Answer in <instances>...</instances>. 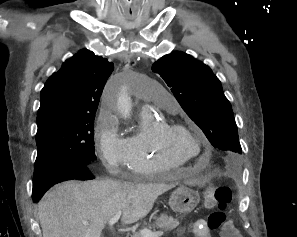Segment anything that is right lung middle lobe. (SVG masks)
Returning a JSON list of instances; mask_svg holds the SVG:
<instances>
[{
	"instance_id": "right-lung-middle-lobe-1",
	"label": "right lung middle lobe",
	"mask_w": 297,
	"mask_h": 237,
	"mask_svg": "<svg viewBox=\"0 0 297 237\" xmlns=\"http://www.w3.org/2000/svg\"><path fill=\"white\" fill-rule=\"evenodd\" d=\"M95 116H59L37 123V158L33 186L45 185L52 170L67 164H83L97 157L94 152Z\"/></svg>"
}]
</instances>
